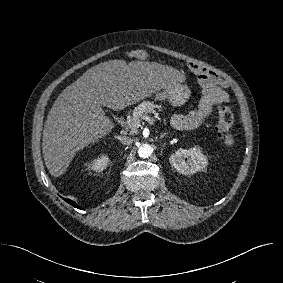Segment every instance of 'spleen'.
Wrapping results in <instances>:
<instances>
[{"mask_svg":"<svg viewBox=\"0 0 283 283\" xmlns=\"http://www.w3.org/2000/svg\"><path fill=\"white\" fill-rule=\"evenodd\" d=\"M224 142H225L226 146H233V144H234L233 136L231 134L227 135L225 137V141Z\"/></svg>","mask_w":283,"mask_h":283,"instance_id":"1","label":"spleen"}]
</instances>
